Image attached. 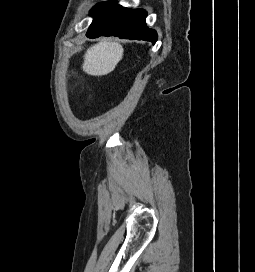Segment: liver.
Here are the masks:
<instances>
[{
  "mask_svg": "<svg viewBox=\"0 0 255 272\" xmlns=\"http://www.w3.org/2000/svg\"><path fill=\"white\" fill-rule=\"evenodd\" d=\"M123 52L124 49L120 43L101 40L86 51L82 69L91 76L107 75L121 61Z\"/></svg>",
  "mask_w": 255,
  "mask_h": 272,
  "instance_id": "liver-1",
  "label": "liver"
}]
</instances>
